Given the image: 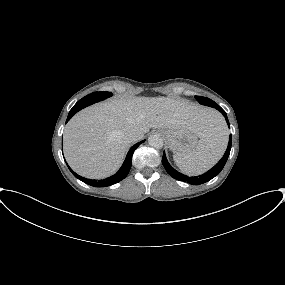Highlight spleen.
Listing matches in <instances>:
<instances>
[{
    "instance_id": "obj_1",
    "label": "spleen",
    "mask_w": 285,
    "mask_h": 285,
    "mask_svg": "<svg viewBox=\"0 0 285 285\" xmlns=\"http://www.w3.org/2000/svg\"><path fill=\"white\" fill-rule=\"evenodd\" d=\"M228 143V130L219 119L213 132L198 141L196 147L187 154L176 153L173 159L179 169L187 175H200L215 165L222 157Z\"/></svg>"
}]
</instances>
